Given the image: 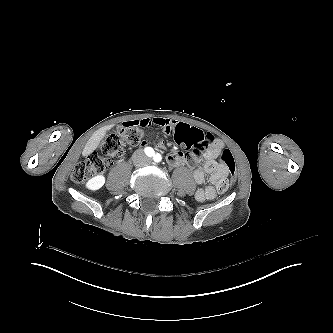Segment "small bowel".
Here are the masks:
<instances>
[{
  "instance_id": "c3829d8e",
  "label": "small bowel",
  "mask_w": 333,
  "mask_h": 333,
  "mask_svg": "<svg viewBox=\"0 0 333 333\" xmlns=\"http://www.w3.org/2000/svg\"><path fill=\"white\" fill-rule=\"evenodd\" d=\"M132 123L141 127L157 126L168 132H174L178 127L184 126L182 123L165 117H146ZM140 146L148 147L149 141L141 140ZM158 147L166 149L167 145L165 143H159ZM224 147L225 145L221 140L214 139L213 143L204 154L202 167L197 168L193 173L194 182L199 185L203 184L206 176H208V184L198 188L195 192V199L199 202L214 200L219 193H222L220 184L225 181L229 173L228 167L219 160ZM165 160L167 164L171 166H182L187 162V157L183 152L174 150L166 155Z\"/></svg>"
}]
</instances>
